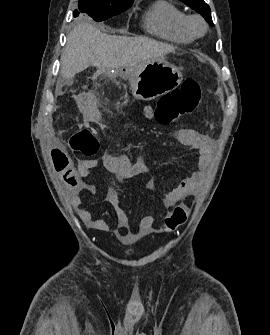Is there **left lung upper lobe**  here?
Masks as SVG:
<instances>
[{"label": "left lung upper lobe", "instance_id": "1", "mask_svg": "<svg viewBox=\"0 0 270 335\" xmlns=\"http://www.w3.org/2000/svg\"><path fill=\"white\" fill-rule=\"evenodd\" d=\"M186 5L194 9L197 13L201 14L205 20L212 26H214L211 18L210 7L204 2V0H180Z\"/></svg>", "mask_w": 270, "mask_h": 335}]
</instances>
